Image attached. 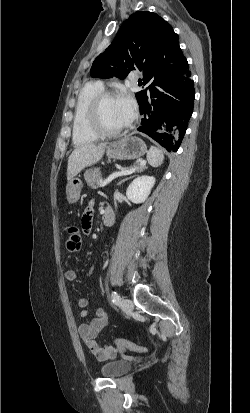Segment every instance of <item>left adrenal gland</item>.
I'll use <instances>...</instances> for the list:
<instances>
[{"mask_svg": "<svg viewBox=\"0 0 250 413\" xmlns=\"http://www.w3.org/2000/svg\"><path fill=\"white\" fill-rule=\"evenodd\" d=\"M129 178H132V176H129V177H126V178L122 179V180L118 183V185H121L123 182H125V181L128 180Z\"/></svg>", "mask_w": 250, "mask_h": 413, "instance_id": "left-adrenal-gland-1", "label": "left adrenal gland"}]
</instances>
